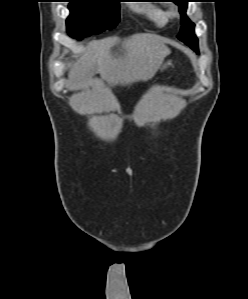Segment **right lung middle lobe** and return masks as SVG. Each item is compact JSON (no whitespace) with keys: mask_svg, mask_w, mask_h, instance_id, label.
Masks as SVG:
<instances>
[{"mask_svg":"<svg viewBox=\"0 0 248 299\" xmlns=\"http://www.w3.org/2000/svg\"><path fill=\"white\" fill-rule=\"evenodd\" d=\"M67 32L79 39L100 33L119 22L117 0H70Z\"/></svg>","mask_w":248,"mask_h":299,"instance_id":"right-lung-middle-lobe-1","label":"right lung middle lobe"}]
</instances>
